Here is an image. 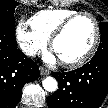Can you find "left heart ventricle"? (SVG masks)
Listing matches in <instances>:
<instances>
[{"instance_id":"b2bd125f","label":"left heart ventricle","mask_w":108,"mask_h":108,"mask_svg":"<svg viewBox=\"0 0 108 108\" xmlns=\"http://www.w3.org/2000/svg\"><path fill=\"white\" fill-rule=\"evenodd\" d=\"M94 38V25L87 17L75 20L57 39L53 51L61 61H71L82 56Z\"/></svg>"}]
</instances>
